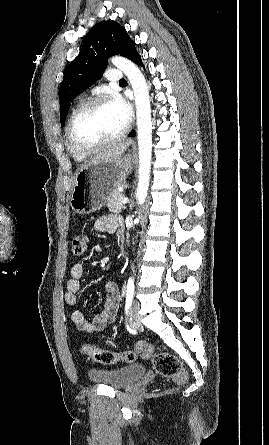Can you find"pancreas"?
<instances>
[{"label": "pancreas", "mask_w": 269, "mask_h": 445, "mask_svg": "<svg viewBox=\"0 0 269 445\" xmlns=\"http://www.w3.org/2000/svg\"><path fill=\"white\" fill-rule=\"evenodd\" d=\"M124 194L119 192L118 190H114L111 193V196L107 199V208L110 212L120 213L121 209L125 208L121 199L124 198Z\"/></svg>", "instance_id": "1"}]
</instances>
